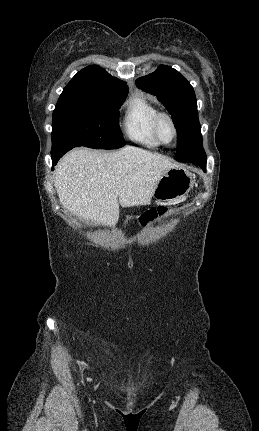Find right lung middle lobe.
<instances>
[{"label":"right lung middle lobe","mask_w":259,"mask_h":431,"mask_svg":"<svg viewBox=\"0 0 259 431\" xmlns=\"http://www.w3.org/2000/svg\"><path fill=\"white\" fill-rule=\"evenodd\" d=\"M125 93L100 96L61 94L53 111L52 151L86 146L117 149L125 145L118 116Z\"/></svg>","instance_id":"right-lung-middle-lobe-1"}]
</instances>
